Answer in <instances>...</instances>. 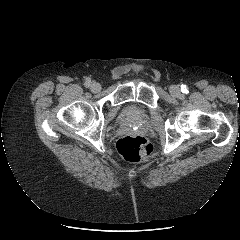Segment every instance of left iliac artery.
<instances>
[{
  "label": "left iliac artery",
  "instance_id": "left-iliac-artery-1",
  "mask_svg": "<svg viewBox=\"0 0 240 240\" xmlns=\"http://www.w3.org/2000/svg\"><path fill=\"white\" fill-rule=\"evenodd\" d=\"M181 91H182L183 93H187V92H188L187 86H186V85H182V86H181Z\"/></svg>",
  "mask_w": 240,
  "mask_h": 240
}]
</instances>
